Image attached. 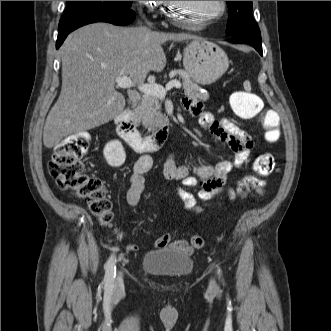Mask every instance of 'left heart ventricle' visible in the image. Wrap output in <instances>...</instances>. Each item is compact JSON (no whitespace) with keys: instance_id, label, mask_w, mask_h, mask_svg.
Returning <instances> with one entry per match:
<instances>
[{"instance_id":"1","label":"left heart ventricle","mask_w":331,"mask_h":331,"mask_svg":"<svg viewBox=\"0 0 331 331\" xmlns=\"http://www.w3.org/2000/svg\"><path fill=\"white\" fill-rule=\"evenodd\" d=\"M218 1H179L176 16L187 22L197 23L218 11Z\"/></svg>"}]
</instances>
